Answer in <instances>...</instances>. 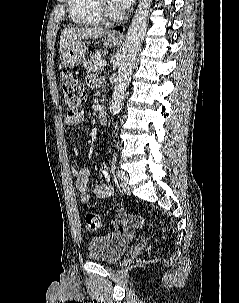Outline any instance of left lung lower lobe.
I'll use <instances>...</instances> for the list:
<instances>
[{"mask_svg":"<svg viewBox=\"0 0 239 303\" xmlns=\"http://www.w3.org/2000/svg\"><path fill=\"white\" fill-rule=\"evenodd\" d=\"M116 30H120V31H122V27H118V28H116Z\"/></svg>","mask_w":239,"mask_h":303,"instance_id":"obj_1","label":"left lung lower lobe"}]
</instances>
